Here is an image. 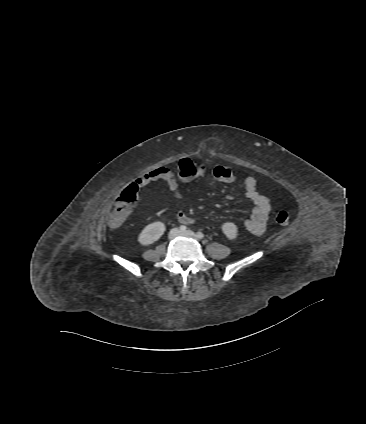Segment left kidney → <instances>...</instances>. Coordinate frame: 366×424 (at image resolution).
Listing matches in <instances>:
<instances>
[{
	"label": "left kidney",
	"instance_id": "1",
	"mask_svg": "<svg viewBox=\"0 0 366 424\" xmlns=\"http://www.w3.org/2000/svg\"><path fill=\"white\" fill-rule=\"evenodd\" d=\"M221 228L228 239L234 240L237 237V226L234 223L226 222Z\"/></svg>",
	"mask_w": 366,
	"mask_h": 424
}]
</instances>
